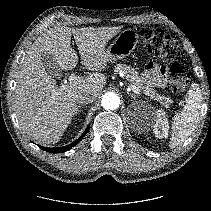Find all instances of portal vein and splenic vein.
Masks as SVG:
<instances>
[{
  "instance_id": "18ae733b",
  "label": "portal vein and splenic vein",
  "mask_w": 211,
  "mask_h": 211,
  "mask_svg": "<svg viewBox=\"0 0 211 211\" xmlns=\"http://www.w3.org/2000/svg\"><path fill=\"white\" fill-rule=\"evenodd\" d=\"M80 76H77L76 74L72 73L70 76H69V82L70 84H73V83H76L77 81L80 80ZM129 90L133 91L134 93L136 94H139V89L136 88L135 86L131 85L129 86Z\"/></svg>"
}]
</instances>
